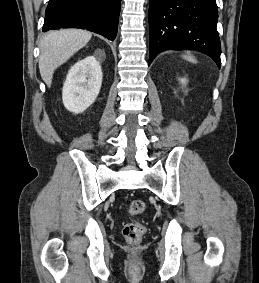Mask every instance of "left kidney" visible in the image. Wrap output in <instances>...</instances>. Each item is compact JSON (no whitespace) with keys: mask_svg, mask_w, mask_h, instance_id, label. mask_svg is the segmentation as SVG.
<instances>
[{"mask_svg":"<svg viewBox=\"0 0 259 283\" xmlns=\"http://www.w3.org/2000/svg\"><path fill=\"white\" fill-rule=\"evenodd\" d=\"M180 82H181L182 84L186 85L187 80H186V79H180Z\"/></svg>","mask_w":259,"mask_h":283,"instance_id":"obj_1","label":"left kidney"}]
</instances>
